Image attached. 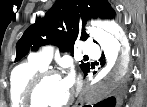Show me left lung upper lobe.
Masks as SVG:
<instances>
[{
    "instance_id": "left-lung-upper-lobe-1",
    "label": "left lung upper lobe",
    "mask_w": 147,
    "mask_h": 107,
    "mask_svg": "<svg viewBox=\"0 0 147 107\" xmlns=\"http://www.w3.org/2000/svg\"><path fill=\"white\" fill-rule=\"evenodd\" d=\"M90 18L113 20L116 12L108 0H56L45 17L36 18L17 42L15 62L47 44L55 45L61 51L70 48L72 51L77 39L88 38L84 26ZM80 68L85 74L90 65L82 62Z\"/></svg>"
}]
</instances>
